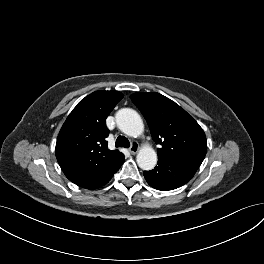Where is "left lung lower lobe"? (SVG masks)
<instances>
[{
    "label": "left lung lower lobe",
    "mask_w": 264,
    "mask_h": 264,
    "mask_svg": "<svg viewBox=\"0 0 264 264\" xmlns=\"http://www.w3.org/2000/svg\"><path fill=\"white\" fill-rule=\"evenodd\" d=\"M196 170L179 161L158 158V165L151 171H144V177L151 187L168 191L183 186L191 180Z\"/></svg>",
    "instance_id": "obj_1"
}]
</instances>
